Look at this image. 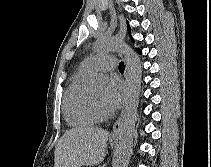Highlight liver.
<instances>
[{
    "instance_id": "obj_1",
    "label": "liver",
    "mask_w": 211,
    "mask_h": 167,
    "mask_svg": "<svg viewBox=\"0 0 211 167\" xmlns=\"http://www.w3.org/2000/svg\"><path fill=\"white\" fill-rule=\"evenodd\" d=\"M109 133L101 128L70 129L55 147L54 167H81L100 164L105 156Z\"/></svg>"
}]
</instances>
